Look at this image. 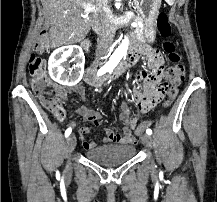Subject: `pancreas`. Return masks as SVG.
Segmentation results:
<instances>
[{
  "label": "pancreas",
  "mask_w": 217,
  "mask_h": 202,
  "mask_svg": "<svg viewBox=\"0 0 217 202\" xmlns=\"http://www.w3.org/2000/svg\"><path fill=\"white\" fill-rule=\"evenodd\" d=\"M135 22H142V18H139V16H137ZM134 34H136V36H138V40L143 41V40L145 39V38L142 36L143 30H142V28H139V26H137V28H135Z\"/></svg>",
  "instance_id": "obj_1"
}]
</instances>
